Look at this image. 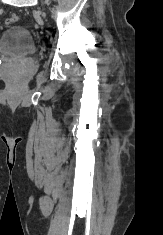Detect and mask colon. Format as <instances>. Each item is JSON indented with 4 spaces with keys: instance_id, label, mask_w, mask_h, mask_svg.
Here are the masks:
<instances>
[{
    "instance_id": "obj_1",
    "label": "colon",
    "mask_w": 163,
    "mask_h": 235,
    "mask_svg": "<svg viewBox=\"0 0 163 235\" xmlns=\"http://www.w3.org/2000/svg\"><path fill=\"white\" fill-rule=\"evenodd\" d=\"M18 19H19V17L16 14H12L5 20V23L7 25H11V24H14L15 22H17Z\"/></svg>"
}]
</instances>
